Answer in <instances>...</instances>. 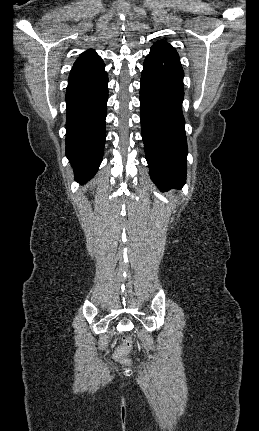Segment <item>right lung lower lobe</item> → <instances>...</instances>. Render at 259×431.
I'll return each instance as SVG.
<instances>
[{
	"mask_svg": "<svg viewBox=\"0 0 259 431\" xmlns=\"http://www.w3.org/2000/svg\"><path fill=\"white\" fill-rule=\"evenodd\" d=\"M102 62L70 72L66 90V156L75 179L85 183L98 170L106 137L108 75Z\"/></svg>",
	"mask_w": 259,
	"mask_h": 431,
	"instance_id": "right-lung-lower-lobe-1",
	"label": "right lung lower lobe"
}]
</instances>
